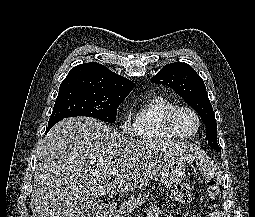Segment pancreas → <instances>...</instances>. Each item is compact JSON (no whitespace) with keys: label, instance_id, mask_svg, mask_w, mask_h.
I'll list each match as a JSON object with an SVG mask.
<instances>
[{"label":"pancreas","instance_id":"obj_1","mask_svg":"<svg viewBox=\"0 0 255 217\" xmlns=\"http://www.w3.org/2000/svg\"><path fill=\"white\" fill-rule=\"evenodd\" d=\"M148 201H150L149 194H133L128 198L127 201H124L119 206L117 212L114 214V217H126L127 214L132 213L135 209Z\"/></svg>","mask_w":255,"mask_h":217}]
</instances>
